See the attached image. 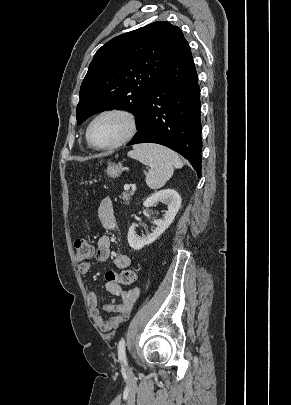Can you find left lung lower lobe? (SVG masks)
<instances>
[{"label": "left lung lower lobe", "mask_w": 291, "mask_h": 405, "mask_svg": "<svg viewBox=\"0 0 291 405\" xmlns=\"http://www.w3.org/2000/svg\"><path fill=\"white\" fill-rule=\"evenodd\" d=\"M200 87L188 42L151 87L139 132L128 143H157L185 157L201 176Z\"/></svg>", "instance_id": "0a47b994"}]
</instances>
